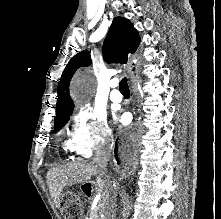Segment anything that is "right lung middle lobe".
I'll return each instance as SVG.
<instances>
[{
	"mask_svg": "<svg viewBox=\"0 0 221 219\" xmlns=\"http://www.w3.org/2000/svg\"><path fill=\"white\" fill-rule=\"evenodd\" d=\"M72 110L73 109L69 110L64 115H61V116L55 118L54 123H55L56 130H59L62 126H64L67 123V121L69 120V117L72 113Z\"/></svg>",
	"mask_w": 221,
	"mask_h": 219,
	"instance_id": "1",
	"label": "right lung middle lobe"
}]
</instances>
